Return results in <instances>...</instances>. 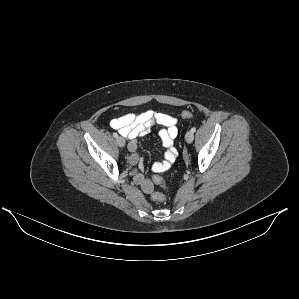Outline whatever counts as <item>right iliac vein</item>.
<instances>
[{
  "label": "right iliac vein",
  "instance_id": "right-iliac-vein-1",
  "mask_svg": "<svg viewBox=\"0 0 299 299\" xmlns=\"http://www.w3.org/2000/svg\"><path fill=\"white\" fill-rule=\"evenodd\" d=\"M117 144L120 146V147H124L125 146V140L123 137L119 136L117 137Z\"/></svg>",
  "mask_w": 299,
  "mask_h": 299
}]
</instances>
